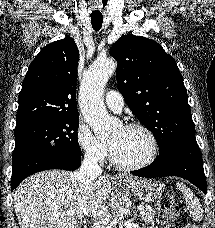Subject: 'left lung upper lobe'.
Here are the masks:
<instances>
[{"instance_id":"obj_1","label":"left lung upper lobe","mask_w":215,"mask_h":228,"mask_svg":"<svg viewBox=\"0 0 215 228\" xmlns=\"http://www.w3.org/2000/svg\"><path fill=\"white\" fill-rule=\"evenodd\" d=\"M109 53L118 63L120 93L133 114L153 133L159 152L181 138L195 135L181 73L159 43L123 35Z\"/></svg>"}]
</instances>
